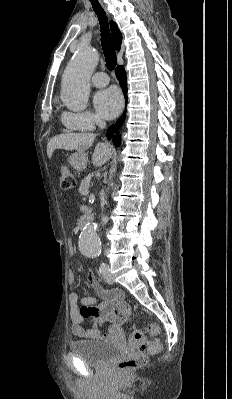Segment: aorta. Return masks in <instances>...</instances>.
Wrapping results in <instances>:
<instances>
[{"instance_id":"aorta-1","label":"aorta","mask_w":232,"mask_h":399,"mask_svg":"<svg viewBox=\"0 0 232 399\" xmlns=\"http://www.w3.org/2000/svg\"><path fill=\"white\" fill-rule=\"evenodd\" d=\"M99 60L91 47L82 46L68 63L63 77L61 100L72 111L87 107L90 94V78ZM80 252L89 257L101 254V243L97 235V224L87 225L79 238Z\"/></svg>"}]
</instances>
